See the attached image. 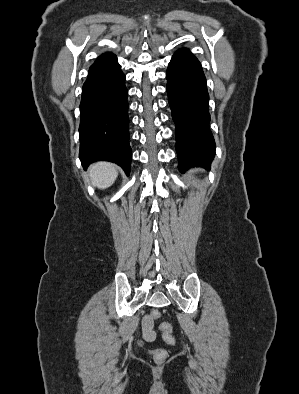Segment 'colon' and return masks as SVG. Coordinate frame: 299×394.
<instances>
[{"mask_svg":"<svg viewBox=\"0 0 299 394\" xmlns=\"http://www.w3.org/2000/svg\"><path fill=\"white\" fill-rule=\"evenodd\" d=\"M161 313L158 310H154L151 313V317L153 319H158L160 318ZM160 329L162 330L163 333V339L166 343H168L169 345H175L176 340L172 335V327L169 323L164 322L160 325ZM150 354L152 356V359L154 360V362L156 363H162L166 360L167 358V351L165 349L162 348H156V349H152L150 350Z\"/></svg>","mask_w":299,"mask_h":394,"instance_id":"obj_1","label":"colon"}]
</instances>
